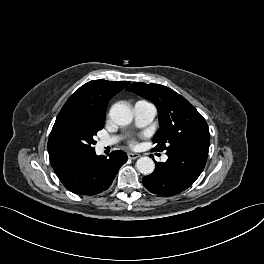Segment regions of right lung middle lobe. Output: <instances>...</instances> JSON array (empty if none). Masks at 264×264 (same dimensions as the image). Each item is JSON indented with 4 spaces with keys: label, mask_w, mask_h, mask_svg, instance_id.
<instances>
[{
    "label": "right lung middle lobe",
    "mask_w": 264,
    "mask_h": 264,
    "mask_svg": "<svg viewBox=\"0 0 264 264\" xmlns=\"http://www.w3.org/2000/svg\"><path fill=\"white\" fill-rule=\"evenodd\" d=\"M104 124L67 117L60 121L48 140V152L51 163L94 152V136Z\"/></svg>",
    "instance_id": "dd1d6c3e"
}]
</instances>
